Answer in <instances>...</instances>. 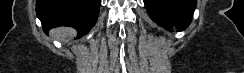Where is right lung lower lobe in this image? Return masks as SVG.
Instances as JSON below:
<instances>
[{"label":"right lung lower lobe","mask_w":244,"mask_h":73,"mask_svg":"<svg viewBox=\"0 0 244 73\" xmlns=\"http://www.w3.org/2000/svg\"><path fill=\"white\" fill-rule=\"evenodd\" d=\"M101 0H37L36 13L43 30L60 25L72 26L85 35L94 26Z\"/></svg>","instance_id":"right-lung-lower-lobe-1"}]
</instances>
